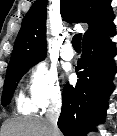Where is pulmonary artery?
<instances>
[{"label": "pulmonary artery", "instance_id": "obj_1", "mask_svg": "<svg viewBox=\"0 0 117 136\" xmlns=\"http://www.w3.org/2000/svg\"><path fill=\"white\" fill-rule=\"evenodd\" d=\"M61 57L65 60H71L74 57V51L72 49L70 41H66L61 49Z\"/></svg>", "mask_w": 117, "mask_h": 136}]
</instances>
